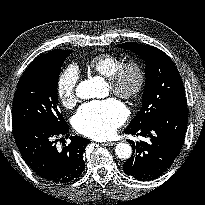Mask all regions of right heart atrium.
Listing matches in <instances>:
<instances>
[{
	"instance_id": "obj_1",
	"label": "right heart atrium",
	"mask_w": 205,
	"mask_h": 205,
	"mask_svg": "<svg viewBox=\"0 0 205 205\" xmlns=\"http://www.w3.org/2000/svg\"><path fill=\"white\" fill-rule=\"evenodd\" d=\"M79 78V71L75 66H68L60 73L56 84V92L63 106L69 108L76 103Z\"/></svg>"
}]
</instances>
